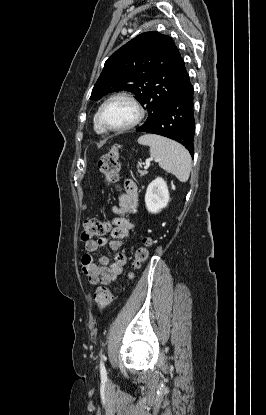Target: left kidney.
Here are the masks:
<instances>
[{"label":"left kidney","mask_w":266,"mask_h":415,"mask_svg":"<svg viewBox=\"0 0 266 415\" xmlns=\"http://www.w3.org/2000/svg\"><path fill=\"white\" fill-rule=\"evenodd\" d=\"M169 202L168 186L161 177L153 180L147 187L145 194L146 208L150 213H158Z\"/></svg>","instance_id":"5707ae66"}]
</instances>
